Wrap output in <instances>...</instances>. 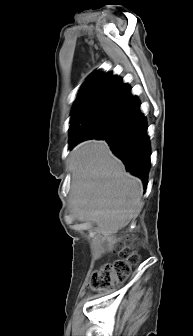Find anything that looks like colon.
Listing matches in <instances>:
<instances>
[{
    "label": "colon",
    "mask_w": 193,
    "mask_h": 336,
    "mask_svg": "<svg viewBox=\"0 0 193 336\" xmlns=\"http://www.w3.org/2000/svg\"><path fill=\"white\" fill-rule=\"evenodd\" d=\"M138 260L136 246L132 243L124 245L119 251L118 259L102 265L93 272L89 283L91 290L104 291L123 282Z\"/></svg>",
    "instance_id": "colon-1"
}]
</instances>
